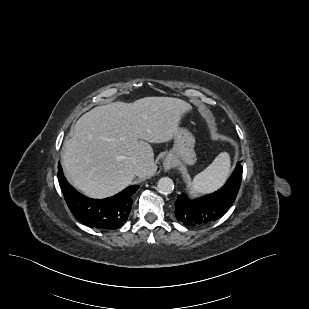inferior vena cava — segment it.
<instances>
[{
	"label": "inferior vena cava",
	"instance_id": "602c4592",
	"mask_svg": "<svg viewBox=\"0 0 309 309\" xmlns=\"http://www.w3.org/2000/svg\"><path fill=\"white\" fill-rule=\"evenodd\" d=\"M132 162H133L134 165H135V167H134L135 172H136V173H139L140 170L142 169V165L139 163V161H138L136 158H133V159H132Z\"/></svg>",
	"mask_w": 309,
	"mask_h": 309
}]
</instances>
